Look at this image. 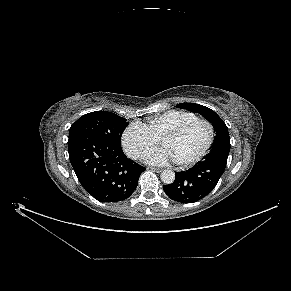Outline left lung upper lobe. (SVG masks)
Masks as SVG:
<instances>
[{
  "label": "left lung upper lobe",
  "mask_w": 291,
  "mask_h": 291,
  "mask_svg": "<svg viewBox=\"0 0 291 291\" xmlns=\"http://www.w3.org/2000/svg\"><path fill=\"white\" fill-rule=\"evenodd\" d=\"M176 107L199 113L210 123H212L216 133L213 146L218 143H230V137L226 124L213 110L195 103H181Z\"/></svg>",
  "instance_id": "1"
}]
</instances>
